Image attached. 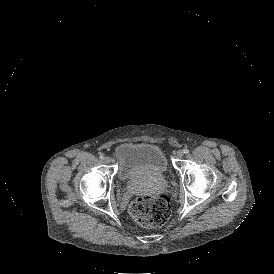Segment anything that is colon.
<instances>
[{
    "label": "colon",
    "instance_id": "colon-1",
    "mask_svg": "<svg viewBox=\"0 0 274 274\" xmlns=\"http://www.w3.org/2000/svg\"><path fill=\"white\" fill-rule=\"evenodd\" d=\"M134 223L139 227H161L171 217V209L166 196L140 197L129 206Z\"/></svg>",
    "mask_w": 274,
    "mask_h": 274
}]
</instances>
